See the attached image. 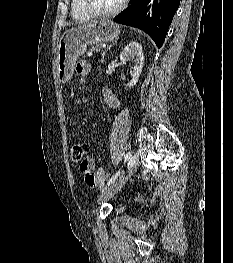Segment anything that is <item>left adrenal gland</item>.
I'll return each instance as SVG.
<instances>
[{"instance_id": "left-adrenal-gland-1", "label": "left adrenal gland", "mask_w": 233, "mask_h": 263, "mask_svg": "<svg viewBox=\"0 0 233 263\" xmlns=\"http://www.w3.org/2000/svg\"><path fill=\"white\" fill-rule=\"evenodd\" d=\"M117 40H118V39H116L115 41H113V42L111 43V45H109V46L107 47V49H105V50L103 51V53H102V58H101V62H102V63L104 62V56H105L106 52H107L113 45H115V44L117 43Z\"/></svg>"}]
</instances>
